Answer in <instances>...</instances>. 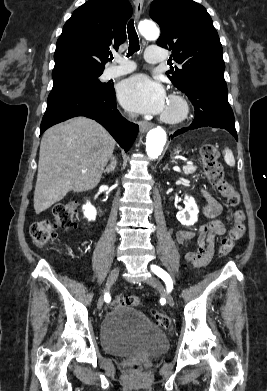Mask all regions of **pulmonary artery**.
Wrapping results in <instances>:
<instances>
[{
	"label": "pulmonary artery",
	"mask_w": 267,
	"mask_h": 391,
	"mask_svg": "<svg viewBox=\"0 0 267 391\" xmlns=\"http://www.w3.org/2000/svg\"><path fill=\"white\" fill-rule=\"evenodd\" d=\"M146 60L149 63H159L166 59L164 51L158 46H150L146 50ZM115 60L119 65L109 68L106 71L107 78H115L125 74H128L135 70V64L125 58L116 56Z\"/></svg>",
	"instance_id": "obj_1"
}]
</instances>
